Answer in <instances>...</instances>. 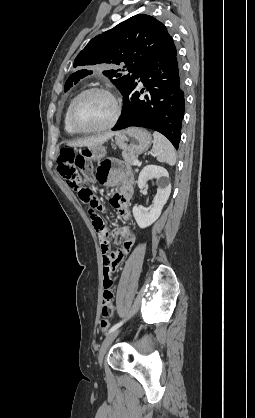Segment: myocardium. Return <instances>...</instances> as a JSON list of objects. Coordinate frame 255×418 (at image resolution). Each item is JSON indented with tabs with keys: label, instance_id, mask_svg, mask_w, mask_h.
I'll return each instance as SVG.
<instances>
[{
	"label": "myocardium",
	"instance_id": "myocardium-1",
	"mask_svg": "<svg viewBox=\"0 0 255 418\" xmlns=\"http://www.w3.org/2000/svg\"><path fill=\"white\" fill-rule=\"evenodd\" d=\"M91 93H102L105 94L106 96H108L114 106V112L113 115L111 117V119L109 120L108 123H106L105 125L99 126V127H92V128H83L80 127L79 125L76 124L74 116H75V112L77 109L78 104L80 103V101L87 96L88 94ZM121 114V105L119 100L117 99V97L107 88L104 87H90L87 88L83 91H81L73 100L70 109H69V113H68V122L70 124V126L78 133H99V132H104L107 130H110L111 128H113L119 117Z\"/></svg>",
	"mask_w": 255,
	"mask_h": 418
}]
</instances>
